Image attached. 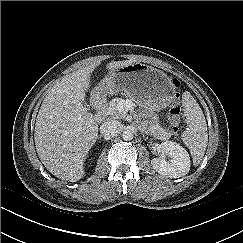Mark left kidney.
Instances as JSON below:
<instances>
[{"label":"left kidney","instance_id":"1","mask_svg":"<svg viewBox=\"0 0 243 243\" xmlns=\"http://www.w3.org/2000/svg\"><path fill=\"white\" fill-rule=\"evenodd\" d=\"M151 164L159 174L179 178L189 172L190 156L186 149L179 144L165 141L161 144V156L152 159Z\"/></svg>","mask_w":243,"mask_h":243}]
</instances>
